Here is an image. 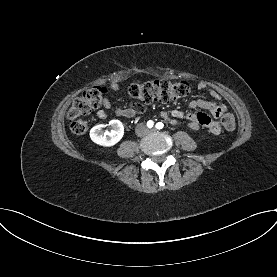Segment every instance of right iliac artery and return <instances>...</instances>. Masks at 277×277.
I'll return each mask as SVG.
<instances>
[{"instance_id": "obj_1", "label": "right iliac artery", "mask_w": 277, "mask_h": 277, "mask_svg": "<svg viewBox=\"0 0 277 277\" xmlns=\"http://www.w3.org/2000/svg\"><path fill=\"white\" fill-rule=\"evenodd\" d=\"M153 124H154V122L151 121V120L147 122V126H148L149 128L153 127Z\"/></svg>"}]
</instances>
